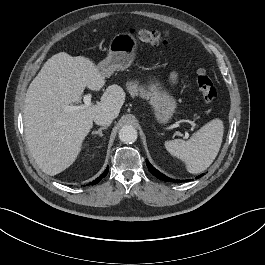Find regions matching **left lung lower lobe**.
I'll return each mask as SVG.
<instances>
[{
	"instance_id": "left-lung-lower-lobe-1",
	"label": "left lung lower lobe",
	"mask_w": 265,
	"mask_h": 265,
	"mask_svg": "<svg viewBox=\"0 0 265 265\" xmlns=\"http://www.w3.org/2000/svg\"><path fill=\"white\" fill-rule=\"evenodd\" d=\"M146 164L147 167L149 169V171L155 175L156 177H158L159 179L163 180V181H167V182H174V183H181V180H174V179H170L167 176L163 175L162 173H160L158 170H156L149 162L148 160H146ZM202 175H200L199 177H201ZM197 177V178H199Z\"/></svg>"
}]
</instances>
